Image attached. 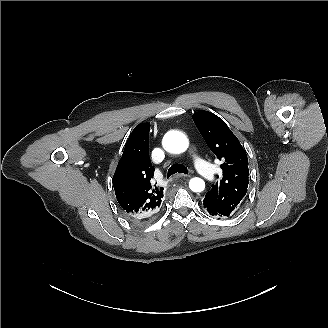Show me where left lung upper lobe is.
Returning a JSON list of instances; mask_svg holds the SVG:
<instances>
[{
    "label": "left lung upper lobe",
    "mask_w": 328,
    "mask_h": 328,
    "mask_svg": "<svg viewBox=\"0 0 328 328\" xmlns=\"http://www.w3.org/2000/svg\"><path fill=\"white\" fill-rule=\"evenodd\" d=\"M193 120L209 148L223 163L220 182L212 185L204 202L229 216L244 198L248 187V158L226 123L208 111L193 114Z\"/></svg>",
    "instance_id": "left-lung-upper-lobe-1"
}]
</instances>
